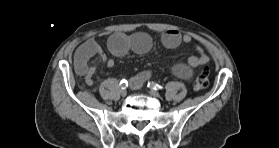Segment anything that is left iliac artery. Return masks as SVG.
Listing matches in <instances>:
<instances>
[{
  "instance_id": "44dca946",
  "label": "left iliac artery",
  "mask_w": 279,
  "mask_h": 148,
  "mask_svg": "<svg viewBox=\"0 0 279 148\" xmlns=\"http://www.w3.org/2000/svg\"><path fill=\"white\" fill-rule=\"evenodd\" d=\"M149 88H151L152 90H161L163 89V86L155 83V82H149L147 85Z\"/></svg>"
}]
</instances>
